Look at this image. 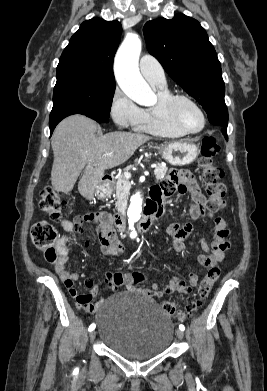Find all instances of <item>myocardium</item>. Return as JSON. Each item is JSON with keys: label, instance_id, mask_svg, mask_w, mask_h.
I'll use <instances>...</instances> for the list:
<instances>
[{"label": "myocardium", "instance_id": "f54148a6", "mask_svg": "<svg viewBox=\"0 0 267 391\" xmlns=\"http://www.w3.org/2000/svg\"><path fill=\"white\" fill-rule=\"evenodd\" d=\"M179 102H187L198 110V112L200 113V115L202 117V121H203V124L199 130H196V131L189 130L180 122V120L178 119V117L176 115V105ZM160 107H161V110H162L163 114L165 115V117L173 125H175L178 129L183 131L185 134L201 133L207 125V117H206V114H205L203 108L199 105L198 102H196L193 98H191L188 95L170 94L168 97H166L165 99H163L160 102Z\"/></svg>", "mask_w": 267, "mask_h": 391}]
</instances>
